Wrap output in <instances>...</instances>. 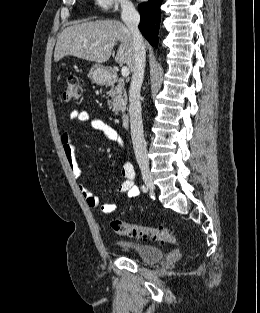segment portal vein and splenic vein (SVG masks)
Here are the masks:
<instances>
[{
	"label": "portal vein and splenic vein",
	"mask_w": 260,
	"mask_h": 313,
	"mask_svg": "<svg viewBox=\"0 0 260 313\" xmlns=\"http://www.w3.org/2000/svg\"><path fill=\"white\" fill-rule=\"evenodd\" d=\"M121 74H122L123 77L129 76V74H130L129 68H128V67H125V66L122 67V69H121Z\"/></svg>",
	"instance_id": "obj_1"
}]
</instances>
